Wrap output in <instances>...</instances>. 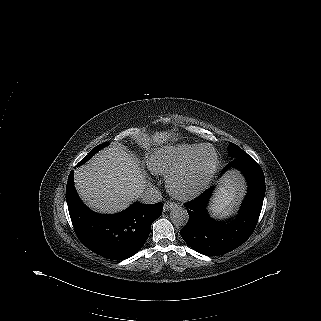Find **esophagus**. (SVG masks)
<instances>
[{
    "label": "esophagus",
    "instance_id": "34e87169",
    "mask_svg": "<svg viewBox=\"0 0 321 321\" xmlns=\"http://www.w3.org/2000/svg\"><path fill=\"white\" fill-rule=\"evenodd\" d=\"M175 207H177V204L174 203V202L168 201V202H165V203H164V210H165V211H169V210H171V209H173V208H175Z\"/></svg>",
    "mask_w": 321,
    "mask_h": 321
}]
</instances>
